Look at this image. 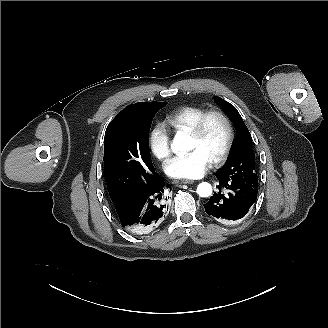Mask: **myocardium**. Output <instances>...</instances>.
Segmentation results:
<instances>
[{
  "label": "myocardium",
  "instance_id": "myocardium-1",
  "mask_svg": "<svg viewBox=\"0 0 328 328\" xmlns=\"http://www.w3.org/2000/svg\"><path fill=\"white\" fill-rule=\"evenodd\" d=\"M215 117L221 119L226 124L228 129L226 145L222 152L212 161L214 165H220L227 161L235 143V127L230 116L220 109L208 110L197 120L195 125L189 130V134L194 138H200L204 133L207 123Z\"/></svg>",
  "mask_w": 328,
  "mask_h": 328
}]
</instances>
